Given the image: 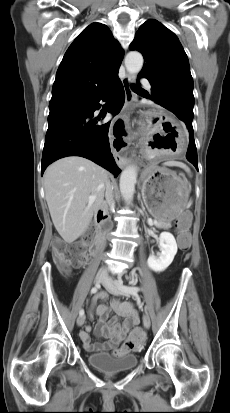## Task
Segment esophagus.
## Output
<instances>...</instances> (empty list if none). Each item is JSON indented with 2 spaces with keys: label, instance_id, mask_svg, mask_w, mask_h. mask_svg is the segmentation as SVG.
Returning a JSON list of instances; mask_svg holds the SVG:
<instances>
[{
  "label": "esophagus",
  "instance_id": "34e87169",
  "mask_svg": "<svg viewBox=\"0 0 230 413\" xmlns=\"http://www.w3.org/2000/svg\"><path fill=\"white\" fill-rule=\"evenodd\" d=\"M135 78L134 76L127 74L126 77L122 80V84H123V88H124V92H125V105L124 108L120 114V116L118 118H121L124 120V116L126 115L129 107L131 106V104L134 101V96H133V92L131 89V84L134 82ZM115 160L118 164L119 167L123 168L124 166H126L130 160L126 157L120 156L119 154L115 155Z\"/></svg>",
  "mask_w": 230,
  "mask_h": 413
}]
</instances>
